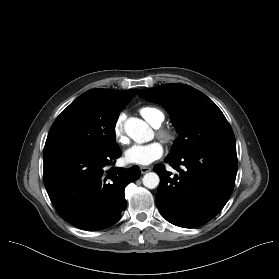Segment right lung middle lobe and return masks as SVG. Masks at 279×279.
Masks as SVG:
<instances>
[{
	"instance_id": "1",
	"label": "right lung middle lobe",
	"mask_w": 279,
	"mask_h": 279,
	"mask_svg": "<svg viewBox=\"0 0 279 279\" xmlns=\"http://www.w3.org/2000/svg\"><path fill=\"white\" fill-rule=\"evenodd\" d=\"M123 109L99 106L82 94L53 123L44 152L68 147L98 152L117 148L114 128Z\"/></svg>"
}]
</instances>
